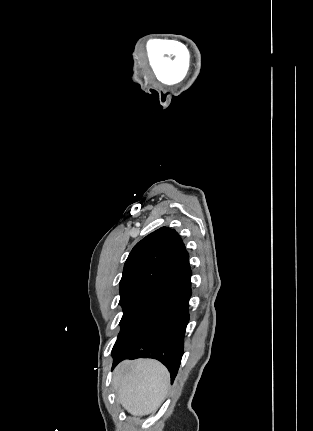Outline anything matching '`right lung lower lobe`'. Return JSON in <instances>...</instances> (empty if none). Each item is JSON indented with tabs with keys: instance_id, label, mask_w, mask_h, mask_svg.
<instances>
[{
	"instance_id": "right-lung-lower-lobe-1",
	"label": "right lung lower lobe",
	"mask_w": 313,
	"mask_h": 431,
	"mask_svg": "<svg viewBox=\"0 0 313 431\" xmlns=\"http://www.w3.org/2000/svg\"><path fill=\"white\" fill-rule=\"evenodd\" d=\"M190 277L187 261L147 297L118 335L112 368L124 359L153 358L168 368L174 381L189 321Z\"/></svg>"
}]
</instances>
